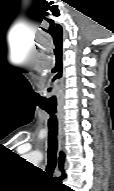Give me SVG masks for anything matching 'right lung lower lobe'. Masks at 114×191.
I'll use <instances>...</instances> for the list:
<instances>
[{
  "instance_id": "right-lung-lower-lobe-1",
  "label": "right lung lower lobe",
  "mask_w": 114,
  "mask_h": 191,
  "mask_svg": "<svg viewBox=\"0 0 114 191\" xmlns=\"http://www.w3.org/2000/svg\"><path fill=\"white\" fill-rule=\"evenodd\" d=\"M65 174L63 176H61L60 178H58V182L61 183V180L64 179Z\"/></svg>"
}]
</instances>
